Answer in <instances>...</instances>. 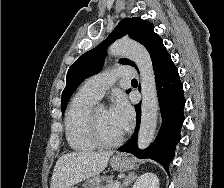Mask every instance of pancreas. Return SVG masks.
Wrapping results in <instances>:
<instances>
[{
	"label": "pancreas",
	"mask_w": 224,
	"mask_h": 188,
	"mask_svg": "<svg viewBox=\"0 0 224 188\" xmlns=\"http://www.w3.org/2000/svg\"><path fill=\"white\" fill-rule=\"evenodd\" d=\"M102 181H107L109 183L112 182V177L106 176H95L84 183V188H107L108 185L103 186L101 184Z\"/></svg>",
	"instance_id": "obj_1"
}]
</instances>
